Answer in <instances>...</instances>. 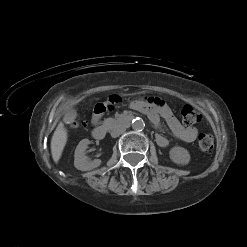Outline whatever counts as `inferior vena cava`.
<instances>
[{"instance_id": "inferior-vena-cava-1", "label": "inferior vena cava", "mask_w": 247, "mask_h": 247, "mask_svg": "<svg viewBox=\"0 0 247 247\" xmlns=\"http://www.w3.org/2000/svg\"><path fill=\"white\" fill-rule=\"evenodd\" d=\"M126 128L123 126H115L111 129V136L113 138L118 137L119 135L123 134L125 132Z\"/></svg>"}]
</instances>
